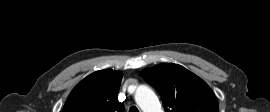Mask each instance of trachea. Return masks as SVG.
<instances>
[{
  "label": "trachea",
  "mask_w": 270,
  "mask_h": 112,
  "mask_svg": "<svg viewBox=\"0 0 270 112\" xmlns=\"http://www.w3.org/2000/svg\"><path fill=\"white\" fill-rule=\"evenodd\" d=\"M129 112H139V110L137 109V107L131 106Z\"/></svg>",
  "instance_id": "trachea-1"
}]
</instances>
